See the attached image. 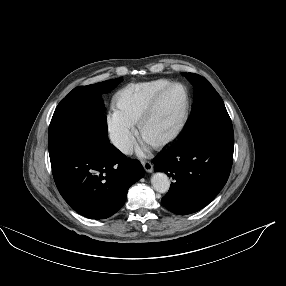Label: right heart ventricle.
<instances>
[{"label":"right heart ventricle","instance_id":"obj_1","mask_svg":"<svg viewBox=\"0 0 286 286\" xmlns=\"http://www.w3.org/2000/svg\"><path fill=\"white\" fill-rule=\"evenodd\" d=\"M171 83L169 79L160 78L129 84L117 93L115 97L116 109L133 124H136L150 100Z\"/></svg>","mask_w":286,"mask_h":286}]
</instances>
